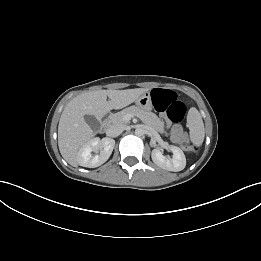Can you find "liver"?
Returning <instances> with one entry per match:
<instances>
[{"mask_svg":"<svg viewBox=\"0 0 261 261\" xmlns=\"http://www.w3.org/2000/svg\"><path fill=\"white\" fill-rule=\"evenodd\" d=\"M147 91L145 88L89 91L70 100L58 125V146L62 157L74 167L79 165L80 148L94 136L85 121L86 115L101 119L110 110L122 109L135 102Z\"/></svg>","mask_w":261,"mask_h":261,"instance_id":"1","label":"liver"}]
</instances>
